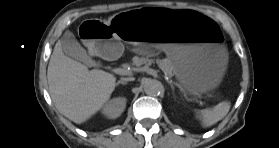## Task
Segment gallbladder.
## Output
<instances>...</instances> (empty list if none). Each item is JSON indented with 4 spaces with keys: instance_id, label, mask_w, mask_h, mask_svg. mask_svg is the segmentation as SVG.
Returning <instances> with one entry per match:
<instances>
[{
    "instance_id": "obj_1",
    "label": "gallbladder",
    "mask_w": 279,
    "mask_h": 148,
    "mask_svg": "<svg viewBox=\"0 0 279 148\" xmlns=\"http://www.w3.org/2000/svg\"><path fill=\"white\" fill-rule=\"evenodd\" d=\"M59 42L61 43L63 52L67 56L83 63L90 61L86 50L80 45L72 32L66 31Z\"/></svg>"
}]
</instances>
